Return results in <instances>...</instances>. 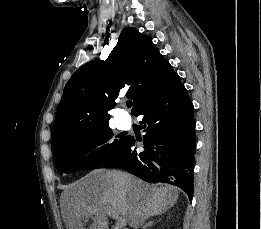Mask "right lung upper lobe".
Listing matches in <instances>:
<instances>
[{"label": "right lung upper lobe", "instance_id": "cb5924a9", "mask_svg": "<svg viewBox=\"0 0 261 229\" xmlns=\"http://www.w3.org/2000/svg\"><path fill=\"white\" fill-rule=\"evenodd\" d=\"M177 76L149 36L124 28L105 61L83 65L66 83L53 125L52 150L67 138L68 128L109 122L120 91L127 90L137 113Z\"/></svg>", "mask_w": 261, "mask_h": 229}]
</instances>
